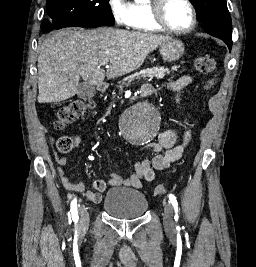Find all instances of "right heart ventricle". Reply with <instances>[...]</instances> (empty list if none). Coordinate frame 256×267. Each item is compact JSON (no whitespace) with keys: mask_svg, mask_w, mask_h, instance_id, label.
Masks as SVG:
<instances>
[{"mask_svg":"<svg viewBox=\"0 0 256 267\" xmlns=\"http://www.w3.org/2000/svg\"><path fill=\"white\" fill-rule=\"evenodd\" d=\"M135 7L138 9L139 16L144 22H151V13L154 7V0H136ZM150 27V33L143 34V36H156L164 32L153 25Z\"/></svg>","mask_w":256,"mask_h":267,"instance_id":"e07e8e85","label":"right heart ventricle"}]
</instances>
